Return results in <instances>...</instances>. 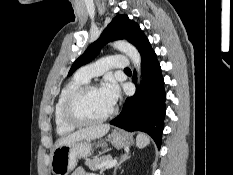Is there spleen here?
Returning <instances> with one entry per match:
<instances>
[{
    "mask_svg": "<svg viewBox=\"0 0 233 175\" xmlns=\"http://www.w3.org/2000/svg\"><path fill=\"white\" fill-rule=\"evenodd\" d=\"M150 143L149 137L144 133H139L136 138V145L138 148H144Z\"/></svg>",
    "mask_w": 233,
    "mask_h": 175,
    "instance_id": "1",
    "label": "spleen"
}]
</instances>
